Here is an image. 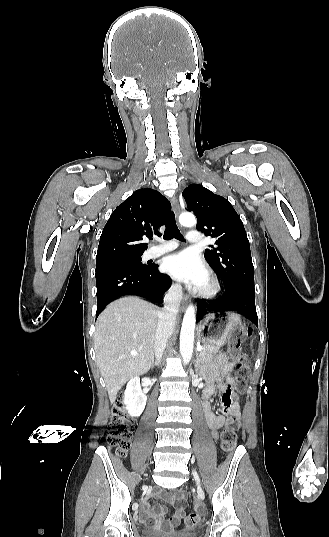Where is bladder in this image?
Here are the masks:
<instances>
[{
    "instance_id": "bladder-1",
    "label": "bladder",
    "mask_w": 329,
    "mask_h": 537,
    "mask_svg": "<svg viewBox=\"0 0 329 537\" xmlns=\"http://www.w3.org/2000/svg\"><path fill=\"white\" fill-rule=\"evenodd\" d=\"M144 537H197L198 532L195 530L180 531L175 533H164L160 531L144 530Z\"/></svg>"
}]
</instances>
